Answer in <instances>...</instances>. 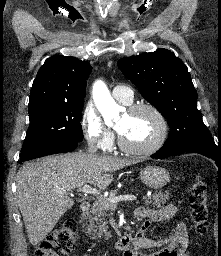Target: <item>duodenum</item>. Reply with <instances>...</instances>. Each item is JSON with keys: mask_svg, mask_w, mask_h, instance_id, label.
Segmentation results:
<instances>
[{"mask_svg": "<svg viewBox=\"0 0 221 256\" xmlns=\"http://www.w3.org/2000/svg\"><path fill=\"white\" fill-rule=\"evenodd\" d=\"M91 208V203L88 201H84L80 204V212L84 216L86 215ZM134 236L132 234H126L123 237H121L119 240L116 241L114 244V249L117 251H123L125 250L130 243L132 242Z\"/></svg>", "mask_w": 221, "mask_h": 256, "instance_id": "duodenum-1", "label": "duodenum"}]
</instances>
